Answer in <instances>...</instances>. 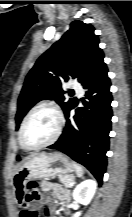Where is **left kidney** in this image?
Returning <instances> with one entry per match:
<instances>
[{
  "mask_svg": "<svg viewBox=\"0 0 132 217\" xmlns=\"http://www.w3.org/2000/svg\"><path fill=\"white\" fill-rule=\"evenodd\" d=\"M97 183L92 179H87L81 182L73 191V198L78 203L88 205L96 191ZM81 212H77L73 217H79Z\"/></svg>",
  "mask_w": 132,
  "mask_h": 217,
  "instance_id": "left-kidney-1",
  "label": "left kidney"
}]
</instances>
